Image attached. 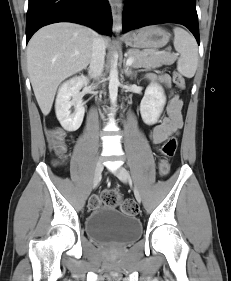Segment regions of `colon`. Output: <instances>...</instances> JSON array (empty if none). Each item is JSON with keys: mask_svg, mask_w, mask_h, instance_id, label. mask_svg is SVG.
Instances as JSON below:
<instances>
[{"mask_svg": "<svg viewBox=\"0 0 231 281\" xmlns=\"http://www.w3.org/2000/svg\"><path fill=\"white\" fill-rule=\"evenodd\" d=\"M173 82L180 88H185V79L178 73L174 72ZM47 140L51 150L56 155L58 161H62L66 154L65 134L62 129L55 128L47 132ZM177 142L174 137L168 139L161 148L162 157L158 163V171L161 176L168 175L170 171L169 158H171L176 151ZM102 205L109 207L120 206L122 211L129 215H136L139 212L138 206L131 199H122V195L117 190H108L101 197H92L89 200V209L95 210Z\"/></svg>", "mask_w": 231, "mask_h": 281, "instance_id": "5ec220e1", "label": "colon"}]
</instances>
